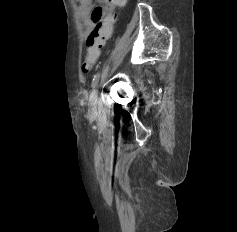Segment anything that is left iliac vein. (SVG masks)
I'll list each match as a JSON object with an SVG mask.
<instances>
[{"mask_svg":"<svg viewBox=\"0 0 237 232\" xmlns=\"http://www.w3.org/2000/svg\"><path fill=\"white\" fill-rule=\"evenodd\" d=\"M97 86V85H96ZM98 93L97 89H94L89 97V109L94 112L97 108Z\"/></svg>","mask_w":237,"mask_h":232,"instance_id":"1","label":"left iliac vein"}]
</instances>
